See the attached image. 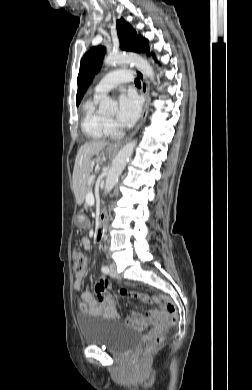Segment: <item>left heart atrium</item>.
Wrapping results in <instances>:
<instances>
[{"label":"left heart atrium","mask_w":252,"mask_h":390,"mask_svg":"<svg viewBox=\"0 0 252 390\" xmlns=\"http://www.w3.org/2000/svg\"><path fill=\"white\" fill-rule=\"evenodd\" d=\"M141 103L134 94L123 93L118 99V120L126 125L134 123L140 114Z\"/></svg>","instance_id":"39dd6f15"}]
</instances>
